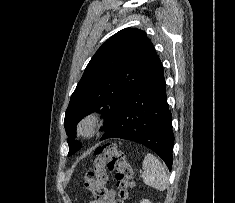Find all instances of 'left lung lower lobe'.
<instances>
[{
	"instance_id": "left-lung-lower-lobe-1",
	"label": "left lung lower lobe",
	"mask_w": 235,
	"mask_h": 203,
	"mask_svg": "<svg viewBox=\"0 0 235 203\" xmlns=\"http://www.w3.org/2000/svg\"><path fill=\"white\" fill-rule=\"evenodd\" d=\"M171 121L163 66L157 55L100 140L122 138L140 143L158 154L171 170Z\"/></svg>"
}]
</instances>
